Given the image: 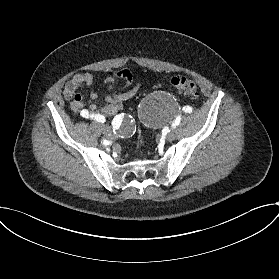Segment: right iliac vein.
<instances>
[{"instance_id": "63e3f726", "label": "right iliac vein", "mask_w": 279, "mask_h": 279, "mask_svg": "<svg viewBox=\"0 0 279 279\" xmlns=\"http://www.w3.org/2000/svg\"><path fill=\"white\" fill-rule=\"evenodd\" d=\"M101 132H103L104 134H108L110 135L112 132H111V128L107 125H104V126H101L100 128Z\"/></svg>"}]
</instances>
